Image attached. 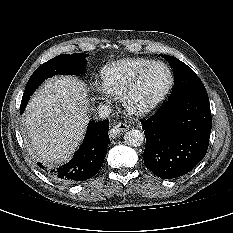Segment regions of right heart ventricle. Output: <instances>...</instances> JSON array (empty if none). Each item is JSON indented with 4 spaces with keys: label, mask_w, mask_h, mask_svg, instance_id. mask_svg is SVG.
Wrapping results in <instances>:
<instances>
[{
    "label": "right heart ventricle",
    "mask_w": 233,
    "mask_h": 233,
    "mask_svg": "<svg viewBox=\"0 0 233 233\" xmlns=\"http://www.w3.org/2000/svg\"><path fill=\"white\" fill-rule=\"evenodd\" d=\"M153 60L127 58L105 65L100 71L101 87L114 96H121L137 72Z\"/></svg>",
    "instance_id": "1"
}]
</instances>
